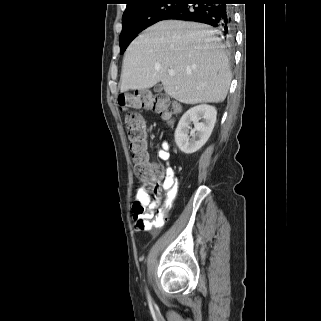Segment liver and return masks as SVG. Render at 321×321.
<instances>
[{
  "mask_svg": "<svg viewBox=\"0 0 321 321\" xmlns=\"http://www.w3.org/2000/svg\"><path fill=\"white\" fill-rule=\"evenodd\" d=\"M215 34L199 23L165 20L154 24L126 50L120 91L149 89L161 82L166 94L181 103L224 101L231 72Z\"/></svg>",
  "mask_w": 321,
  "mask_h": 321,
  "instance_id": "liver-1",
  "label": "liver"
}]
</instances>
